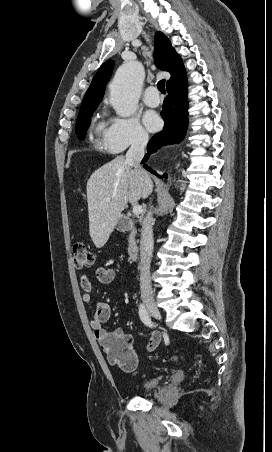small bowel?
I'll list each match as a JSON object with an SVG mask.
<instances>
[{"mask_svg": "<svg viewBox=\"0 0 272 452\" xmlns=\"http://www.w3.org/2000/svg\"><path fill=\"white\" fill-rule=\"evenodd\" d=\"M115 271L107 267H99L96 270L97 279L104 284H109L115 279ZM80 284L83 290L82 299L85 303L91 304L93 302V285L86 274L80 276ZM113 308L108 302H100L97 305V309L94 317L90 321V327L94 331L95 337L100 347L107 351L109 343L116 338L127 337L131 342V336L127 335L121 329L104 330L103 324L110 320L112 316ZM161 342V335L158 331H151L150 338L146 344V351L153 352ZM134 370V369H133ZM132 371V370H131Z\"/></svg>", "mask_w": 272, "mask_h": 452, "instance_id": "small-bowel-1", "label": "small bowel"}]
</instances>
